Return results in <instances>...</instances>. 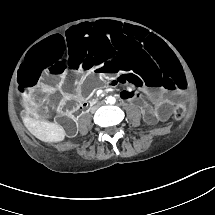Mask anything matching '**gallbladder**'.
<instances>
[{"mask_svg":"<svg viewBox=\"0 0 215 215\" xmlns=\"http://www.w3.org/2000/svg\"><path fill=\"white\" fill-rule=\"evenodd\" d=\"M38 114L44 119H51L54 116V109L49 104H41L38 107Z\"/></svg>","mask_w":215,"mask_h":215,"instance_id":"bac80fb5","label":"gallbladder"}]
</instances>
